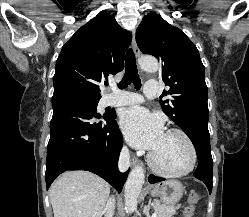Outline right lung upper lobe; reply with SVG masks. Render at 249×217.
Here are the masks:
<instances>
[{
    "label": "right lung upper lobe",
    "mask_w": 249,
    "mask_h": 217,
    "mask_svg": "<svg viewBox=\"0 0 249 217\" xmlns=\"http://www.w3.org/2000/svg\"><path fill=\"white\" fill-rule=\"evenodd\" d=\"M132 35L114 15L100 13L82 26L62 47L53 77L54 95L79 92L101 97L99 83L124 68Z\"/></svg>",
    "instance_id": "right-lung-upper-lobe-1"
}]
</instances>
